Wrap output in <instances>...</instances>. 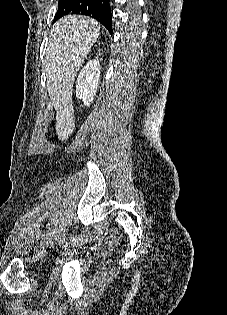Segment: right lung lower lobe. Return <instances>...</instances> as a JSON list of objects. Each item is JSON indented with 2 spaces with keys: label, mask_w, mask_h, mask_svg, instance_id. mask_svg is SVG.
I'll list each match as a JSON object with an SVG mask.
<instances>
[{
  "label": "right lung lower lobe",
  "mask_w": 227,
  "mask_h": 315,
  "mask_svg": "<svg viewBox=\"0 0 227 315\" xmlns=\"http://www.w3.org/2000/svg\"><path fill=\"white\" fill-rule=\"evenodd\" d=\"M71 14L90 16L103 24L112 34V14L109 0H59L53 22Z\"/></svg>",
  "instance_id": "1"
}]
</instances>
